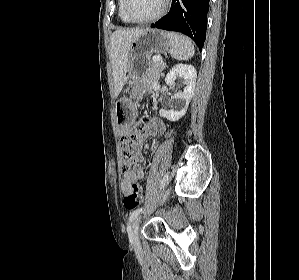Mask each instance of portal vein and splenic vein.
I'll use <instances>...</instances> for the list:
<instances>
[{
	"mask_svg": "<svg viewBox=\"0 0 299 280\" xmlns=\"http://www.w3.org/2000/svg\"><path fill=\"white\" fill-rule=\"evenodd\" d=\"M153 60L163 62V59L160 56L153 57Z\"/></svg>",
	"mask_w": 299,
	"mask_h": 280,
	"instance_id": "18ae733b",
	"label": "portal vein and splenic vein"
}]
</instances>
